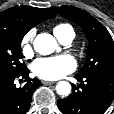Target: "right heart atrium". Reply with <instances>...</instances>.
Returning <instances> with one entry per match:
<instances>
[{"instance_id":"obj_1","label":"right heart atrium","mask_w":114,"mask_h":114,"mask_svg":"<svg viewBox=\"0 0 114 114\" xmlns=\"http://www.w3.org/2000/svg\"><path fill=\"white\" fill-rule=\"evenodd\" d=\"M34 36V31L31 30L27 32L21 41V50L25 56H28L32 53V40Z\"/></svg>"}]
</instances>
